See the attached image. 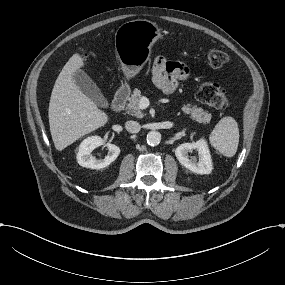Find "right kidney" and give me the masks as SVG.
I'll list each match as a JSON object with an SVG mask.
<instances>
[{"label":"right kidney","mask_w":285,"mask_h":285,"mask_svg":"<svg viewBox=\"0 0 285 285\" xmlns=\"http://www.w3.org/2000/svg\"><path fill=\"white\" fill-rule=\"evenodd\" d=\"M105 146L109 153L104 159H95L91 152L100 147ZM120 153V148L114 144L105 142L100 137H90L82 142L77 153V162L80 166L91 169H100L108 166L115 161Z\"/></svg>","instance_id":"ca27d5eb"}]
</instances>
